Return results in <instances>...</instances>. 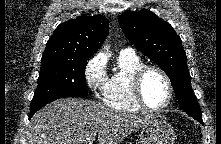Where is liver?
I'll use <instances>...</instances> for the list:
<instances>
[{"label":"liver","instance_id":"liver-1","mask_svg":"<svg viewBox=\"0 0 221 144\" xmlns=\"http://www.w3.org/2000/svg\"><path fill=\"white\" fill-rule=\"evenodd\" d=\"M154 117L117 112L88 99L65 98L36 112L27 129L28 144H120Z\"/></svg>","mask_w":221,"mask_h":144}]
</instances>
